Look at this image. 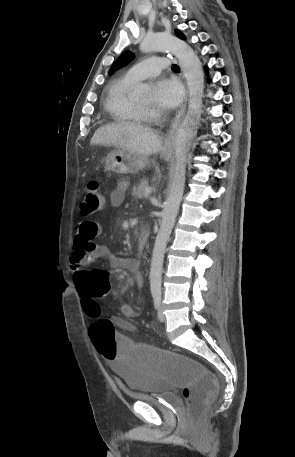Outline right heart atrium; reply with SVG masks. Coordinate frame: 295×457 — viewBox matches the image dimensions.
<instances>
[{
    "label": "right heart atrium",
    "mask_w": 295,
    "mask_h": 457,
    "mask_svg": "<svg viewBox=\"0 0 295 457\" xmlns=\"http://www.w3.org/2000/svg\"><path fill=\"white\" fill-rule=\"evenodd\" d=\"M146 114L149 115V116H154L155 115V113L153 111H151V110H147Z\"/></svg>",
    "instance_id": "obj_1"
}]
</instances>
